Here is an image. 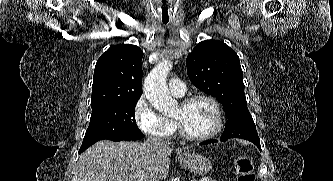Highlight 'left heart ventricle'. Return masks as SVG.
I'll use <instances>...</instances> for the list:
<instances>
[{
	"label": "left heart ventricle",
	"instance_id": "1",
	"mask_svg": "<svg viewBox=\"0 0 333 181\" xmlns=\"http://www.w3.org/2000/svg\"><path fill=\"white\" fill-rule=\"evenodd\" d=\"M172 117L179 120L186 131L193 135L208 133L216 121L212 105L205 100H198L187 106L179 104Z\"/></svg>",
	"mask_w": 333,
	"mask_h": 181
}]
</instances>
